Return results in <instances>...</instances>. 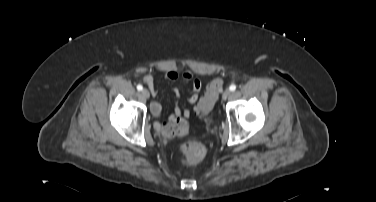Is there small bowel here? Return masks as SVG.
<instances>
[{
    "mask_svg": "<svg viewBox=\"0 0 376 202\" xmlns=\"http://www.w3.org/2000/svg\"><path fill=\"white\" fill-rule=\"evenodd\" d=\"M162 77L169 81L178 80L179 76L176 71L168 69L163 71ZM182 80L191 85V95L188 99L190 105L195 104L199 99V92L202 88V81L199 79H194L190 72H185L182 76ZM143 82L148 86L152 96L156 97L158 95V88L155 84L154 78L152 75H146L143 78ZM174 94L177 98L180 97V92L177 88L174 89ZM151 112L156 117L159 118L162 112V106L159 101H153L151 104ZM190 110L188 108L181 109L179 106H176L174 112L169 116V121L171 123L183 122L185 119L190 116ZM154 127L156 129L161 128L160 122H156Z\"/></svg>",
    "mask_w": 376,
    "mask_h": 202,
    "instance_id": "c3829d8e",
    "label": "small bowel"
}]
</instances>
